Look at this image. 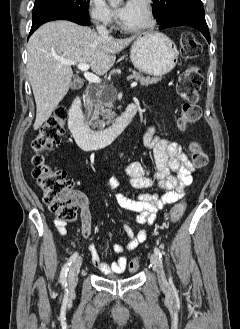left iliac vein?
<instances>
[{
  "label": "left iliac vein",
  "mask_w": 240,
  "mask_h": 329,
  "mask_svg": "<svg viewBox=\"0 0 240 329\" xmlns=\"http://www.w3.org/2000/svg\"><path fill=\"white\" fill-rule=\"evenodd\" d=\"M150 262H151L154 270L158 274V278H159V282H160L161 286H165L167 284V280H166V277L164 274L163 264H162L161 259L159 258V256L156 253H152L150 255Z\"/></svg>",
  "instance_id": "1"
}]
</instances>
